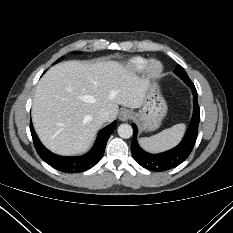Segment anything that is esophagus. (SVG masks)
I'll return each mask as SVG.
<instances>
[{
    "mask_svg": "<svg viewBox=\"0 0 233 233\" xmlns=\"http://www.w3.org/2000/svg\"><path fill=\"white\" fill-rule=\"evenodd\" d=\"M131 116H132L131 111L124 109L119 113V120L124 122L129 120Z\"/></svg>",
    "mask_w": 233,
    "mask_h": 233,
    "instance_id": "obj_1",
    "label": "esophagus"
}]
</instances>
